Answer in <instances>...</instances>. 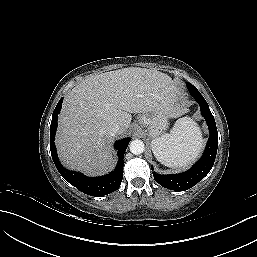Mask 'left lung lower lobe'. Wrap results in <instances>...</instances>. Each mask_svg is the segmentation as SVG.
<instances>
[{
  "label": "left lung lower lobe",
  "instance_id": "0a47b994",
  "mask_svg": "<svg viewBox=\"0 0 257 257\" xmlns=\"http://www.w3.org/2000/svg\"><path fill=\"white\" fill-rule=\"evenodd\" d=\"M191 95L200 105L201 114L209 127L210 136L203 156L188 171L169 175L153 173L156 182L165 188L175 191L188 190L203 179L211 170L217 154L218 133L215 119L203 96L200 93H192Z\"/></svg>",
  "mask_w": 257,
  "mask_h": 257
}]
</instances>
